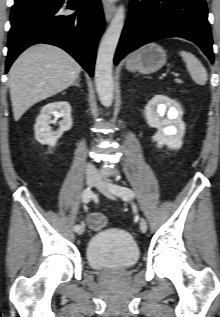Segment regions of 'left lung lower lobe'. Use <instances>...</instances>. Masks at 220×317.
<instances>
[{
    "label": "left lung lower lobe",
    "mask_w": 220,
    "mask_h": 317,
    "mask_svg": "<svg viewBox=\"0 0 220 317\" xmlns=\"http://www.w3.org/2000/svg\"><path fill=\"white\" fill-rule=\"evenodd\" d=\"M205 0H131L115 64L138 47L165 37L196 43L214 62L212 37Z\"/></svg>",
    "instance_id": "obj_1"
}]
</instances>
